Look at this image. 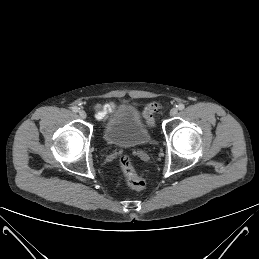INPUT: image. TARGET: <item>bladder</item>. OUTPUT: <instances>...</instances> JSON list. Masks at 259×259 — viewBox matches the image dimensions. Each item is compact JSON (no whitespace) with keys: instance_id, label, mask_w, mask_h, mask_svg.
Instances as JSON below:
<instances>
[{"instance_id":"1","label":"bladder","mask_w":259,"mask_h":259,"mask_svg":"<svg viewBox=\"0 0 259 259\" xmlns=\"http://www.w3.org/2000/svg\"><path fill=\"white\" fill-rule=\"evenodd\" d=\"M103 137L109 145L123 148L141 147L152 141L138 109L129 103L120 104L110 113Z\"/></svg>"}]
</instances>
